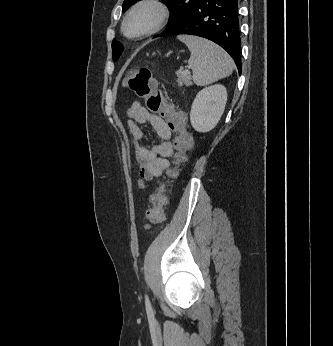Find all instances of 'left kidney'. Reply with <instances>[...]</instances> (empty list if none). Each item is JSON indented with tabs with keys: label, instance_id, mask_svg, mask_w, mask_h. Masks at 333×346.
I'll use <instances>...</instances> for the list:
<instances>
[{
	"label": "left kidney",
	"instance_id": "obj_1",
	"mask_svg": "<svg viewBox=\"0 0 333 346\" xmlns=\"http://www.w3.org/2000/svg\"><path fill=\"white\" fill-rule=\"evenodd\" d=\"M227 101L223 85L215 84L203 88L196 95L190 112L192 127L198 132H209L219 122Z\"/></svg>",
	"mask_w": 333,
	"mask_h": 346
}]
</instances>
